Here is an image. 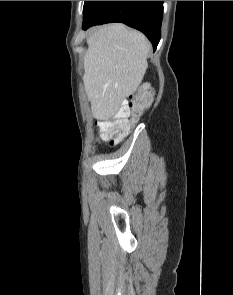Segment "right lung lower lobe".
<instances>
[{
	"instance_id": "obj_1",
	"label": "right lung lower lobe",
	"mask_w": 233,
	"mask_h": 295,
	"mask_svg": "<svg viewBox=\"0 0 233 295\" xmlns=\"http://www.w3.org/2000/svg\"><path fill=\"white\" fill-rule=\"evenodd\" d=\"M162 16L163 1H90L84 11L82 27L122 22L143 32L155 51L160 40Z\"/></svg>"
}]
</instances>
